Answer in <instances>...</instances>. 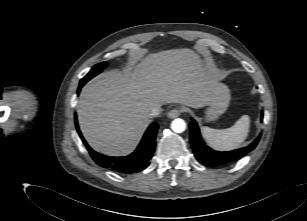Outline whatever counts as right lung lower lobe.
Returning a JSON list of instances; mask_svg holds the SVG:
<instances>
[{"label":"right lung lower lobe","instance_id":"right-lung-lower-lobe-1","mask_svg":"<svg viewBox=\"0 0 307 221\" xmlns=\"http://www.w3.org/2000/svg\"><path fill=\"white\" fill-rule=\"evenodd\" d=\"M83 85L84 84L80 83L78 93L80 92ZM75 124L79 136L88 149L91 157L101 167L109 168L119 173H135L142 171L149 165V160L152 158L155 149V138L158 130L157 123H152L149 126L137 149L126 157H110L95 152L89 147L83 138L79 130L77 120H75Z\"/></svg>","mask_w":307,"mask_h":221}]
</instances>
